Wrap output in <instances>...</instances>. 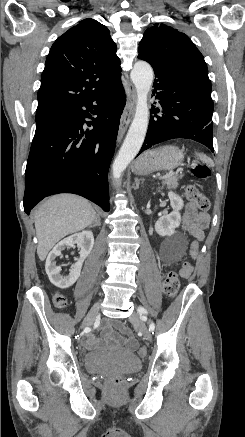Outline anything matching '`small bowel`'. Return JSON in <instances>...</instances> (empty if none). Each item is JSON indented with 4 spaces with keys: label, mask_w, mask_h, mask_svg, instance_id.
<instances>
[{
    "label": "small bowel",
    "mask_w": 245,
    "mask_h": 437,
    "mask_svg": "<svg viewBox=\"0 0 245 437\" xmlns=\"http://www.w3.org/2000/svg\"><path fill=\"white\" fill-rule=\"evenodd\" d=\"M209 222L210 218L207 213L197 211L193 204H188L186 206L183 214L182 226L183 229L192 235L196 240L201 241L204 238V230L208 227ZM197 248L198 245L196 242L191 244L189 254L192 258H196ZM189 274L190 269H184L181 271V275L184 277L188 276ZM103 331L106 336L115 342L122 343L128 349H134L138 344L137 340L126 328H122L123 333L126 335L125 338L113 330L112 326L108 322L103 323ZM97 343L98 341L93 336L88 337L86 341L88 346H94Z\"/></svg>",
    "instance_id": "small-bowel-1"
}]
</instances>
